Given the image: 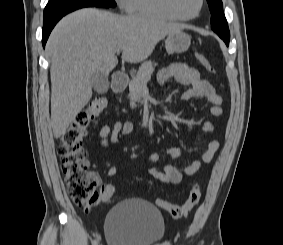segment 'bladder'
Masks as SVG:
<instances>
[{"label": "bladder", "mask_w": 283, "mask_h": 245, "mask_svg": "<svg viewBox=\"0 0 283 245\" xmlns=\"http://www.w3.org/2000/svg\"><path fill=\"white\" fill-rule=\"evenodd\" d=\"M105 237L108 245H156L165 237L164 219L150 202L126 199L107 213Z\"/></svg>", "instance_id": "obj_1"}]
</instances>
